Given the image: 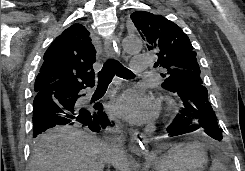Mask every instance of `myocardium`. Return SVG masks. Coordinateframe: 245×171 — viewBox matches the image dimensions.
I'll list each match as a JSON object with an SVG mask.
<instances>
[{
  "label": "myocardium",
  "instance_id": "obj_1",
  "mask_svg": "<svg viewBox=\"0 0 245 171\" xmlns=\"http://www.w3.org/2000/svg\"><path fill=\"white\" fill-rule=\"evenodd\" d=\"M175 107H176V103L174 99L170 97H165L163 99V109H164L165 115L170 114L175 109Z\"/></svg>",
  "mask_w": 245,
  "mask_h": 171
}]
</instances>
